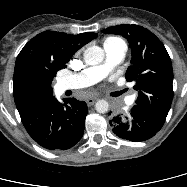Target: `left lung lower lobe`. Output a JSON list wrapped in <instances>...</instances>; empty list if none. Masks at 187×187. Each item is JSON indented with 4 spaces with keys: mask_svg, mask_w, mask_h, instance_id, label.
<instances>
[{
    "mask_svg": "<svg viewBox=\"0 0 187 187\" xmlns=\"http://www.w3.org/2000/svg\"><path fill=\"white\" fill-rule=\"evenodd\" d=\"M166 117L135 105L130 114L110 120L112 131L120 138L139 142L153 137L163 126Z\"/></svg>",
    "mask_w": 187,
    "mask_h": 187,
    "instance_id": "left-lung-lower-lobe-1",
    "label": "left lung lower lobe"
}]
</instances>
